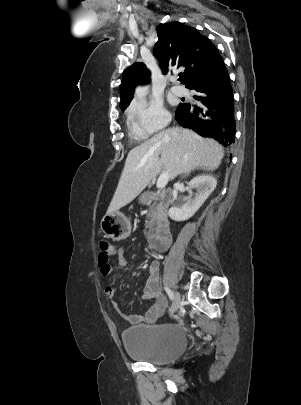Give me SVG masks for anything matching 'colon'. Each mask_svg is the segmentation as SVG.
<instances>
[{
  "instance_id": "obj_1",
  "label": "colon",
  "mask_w": 301,
  "mask_h": 405,
  "mask_svg": "<svg viewBox=\"0 0 301 405\" xmlns=\"http://www.w3.org/2000/svg\"><path fill=\"white\" fill-rule=\"evenodd\" d=\"M98 247L101 256H108L111 246L107 241L105 240L99 241Z\"/></svg>"
}]
</instances>
